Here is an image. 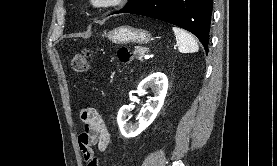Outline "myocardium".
<instances>
[{
    "label": "myocardium",
    "instance_id": "obj_1",
    "mask_svg": "<svg viewBox=\"0 0 277 166\" xmlns=\"http://www.w3.org/2000/svg\"><path fill=\"white\" fill-rule=\"evenodd\" d=\"M124 0H86V5L91 10H104L120 6Z\"/></svg>",
    "mask_w": 277,
    "mask_h": 166
}]
</instances>
